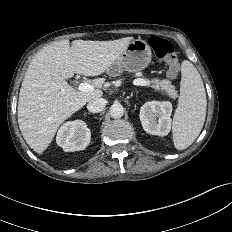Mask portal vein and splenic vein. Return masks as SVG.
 <instances>
[{"mask_svg": "<svg viewBox=\"0 0 232 232\" xmlns=\"http://www.w3.org/2000/svg\"><path fill=\"white\" fill-rule=\"evenodd\" d=\"M134 84L137 85V86H145V87H149L151 86V82L150 81H147V80H144V79H136L134 81ZM78 89L82 92H91L94 90V86L89 84V83H81L78 87Z\"/></svg>", "mask_w": 232, "mask_h": 232, "instance_id": "obj_1", "label": "portal vein and splenic vein"}]
</instances>
